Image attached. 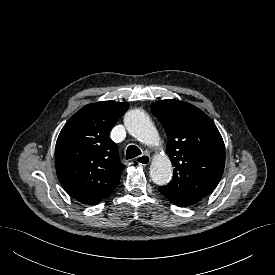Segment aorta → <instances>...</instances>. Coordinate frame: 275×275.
I'll return each instance as SVG.
<instances>
[{"label": "aorta", "mask_w": 275, "mask_h": 275, "mask_svg": "<svg viewBox=\"0 0 275 275\" xmlns=\"http://www.w3.org/2000/svg\"><path fill=\"white\" fill-rule=\"evenodd\" d=\"M124 125L127 131L139 141L154 145L158 142L159 136L156 128L148 115L139 109L128 111L124 118ZM173 175L172 163L168 156H157L150 166V177L157 185H166Z\"/></svg>", "instance_id": "aorta-1"}]
</instances>
